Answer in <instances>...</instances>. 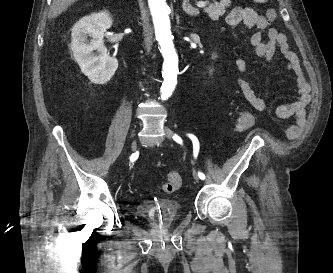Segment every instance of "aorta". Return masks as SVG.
I'll return each instance as SVG.
<instances>
[{"label": "aorta", "mask_w": 333, "mask_h": 273, "mask_svg": "<svg viewBox=\"0 0 333 273\" xmlns=\"http://www.w3.org/2000/svg\"><path fill=\"white\" fill-rule=\"evenodd\" d=\"M150 12L155 29V36L163 55L164 82L161 87V97L166 99L171 96L177 82L178 57L173 44L169 13L170 9L166 0H148Z\"/></svg>", "instance_id": "obj_1"}]
</instances>
